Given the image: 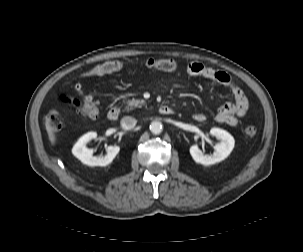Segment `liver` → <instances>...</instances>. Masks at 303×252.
Here are the masks:
<instances>
[{
  "label": "liver",
  "instance_id": "liver-1",
  "mask_svg": "<svg viewBox=\"0 0 303 252\" xmlns=\"http://www.w3.org/2000/svg\"><path fill=\"white\" fill-rule=\"evenodd\" d=\"M50 122H51V119L48 117L46 120V129L48 132L49 140H50L51 144L54 145L56 142V136L54 133V128L50 125Z\"/></svg>",
  "mask_w": 303,
  "mask_h": 252
}]
</instances>
